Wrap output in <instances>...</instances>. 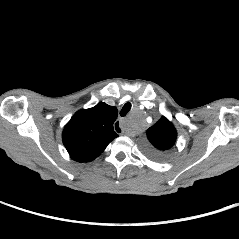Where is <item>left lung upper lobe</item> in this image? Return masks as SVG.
I'll return each instance as SVG.
<instances>
[{"label": "left lung upper lobe", "instance_id": "obj_1", "mask_svg": "<svg viewBox=\"0 0 239 239\" xmlns=\"http://www.w3.org/2000/svg\"><path fill=\"white\" fill-rule=\"evenodd\" d=\"M147 137L151 145L145 147V152L152 158L160 159L175 144L177 133L172 123L162 117L147 130Z\"/></svg>", "mask_w": 239, "mask_h": 239}]
</instances>
